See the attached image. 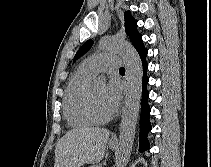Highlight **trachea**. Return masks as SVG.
I'll return each mask as SVG.
<instances>
[{
  "label": "trachea",
  "mask_w": 211,
  "mask_h": 167,
  "mask_svg": "<svg viewBox=\"0 0 211 167\" xmlns=\"http://www.w3.org/2000/svg\"><path fill=\"white\" fill-rule=\"evenodd\" d=\"M119 71H125V68H124V67H121V68L119 69Z\"/></svg>",
  "instance_id": "obj_1"
}]
</instances>
